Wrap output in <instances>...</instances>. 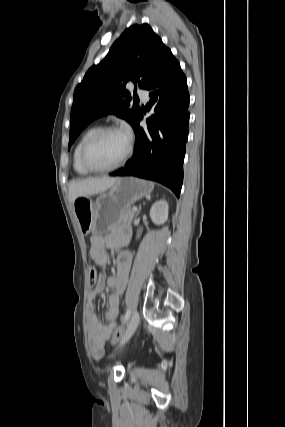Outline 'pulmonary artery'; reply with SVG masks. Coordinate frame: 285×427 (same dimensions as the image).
<instances>
[{"instance_id": "e3ab8cb5", "label": "pulmonary artery", "mask_w": 285, "mask_h": 427, "mask_svg": "<svg viewBox=\"0 0 285 427\" xmlns=\"http://www.w3.org/2000/svg\"><path fill=\"white\" fill-rule=\"evenodd\" d=\"M137 95L142 101H144V102L148 101V93L145 89L138 88L137 89Z\"/></svg>"}]
</instances>
